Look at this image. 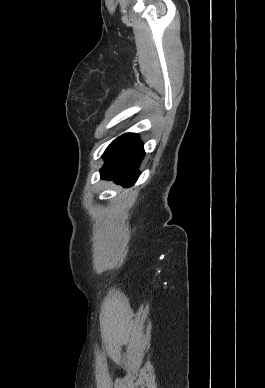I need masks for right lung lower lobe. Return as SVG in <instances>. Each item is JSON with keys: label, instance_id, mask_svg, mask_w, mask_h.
I'll use <instances>...</instances> for the list:
<instances>
[{"label": "right lung lower lobe", "instance_id": "1", "mask_svg": "<svg viewBox=\"0 0 265 388\" xmlns=\"http://www.w3.org/2000/svg\"><path fill=\"white\" fill-rule=\"evenodd\" d=\"M144 154L143 144L135 133L118 137L103 154L106 162L100 170L101 178L124 186L134 185L140 175L137 168Z\"/></svg>", "mask_w": 265, "mask_h": 388}]
</instances>
